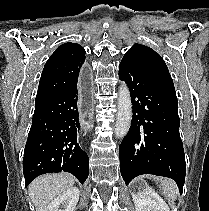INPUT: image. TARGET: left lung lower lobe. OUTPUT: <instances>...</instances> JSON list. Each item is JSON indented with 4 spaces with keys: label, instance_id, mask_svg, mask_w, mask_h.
<instances>
[{
    "label": "left lung lower lobe",
    "instance_id": "1",
    "mask_svg": "<svg viewBox=\"0 0 209 211\" xmlns=\"http://www.w3.org/2000/svg\"><path fill=\"white\" fill-rule=\"evenodd\" d=\"M119 78L126 82L133 104L131 127L119 145L126 185L139 175L153 174L172 178L181 194L186 163L174 85L128 56L121 60Z\"/></svg>",
    "mask_w": 209,
    "mask_h": 211
}]
</instances>
